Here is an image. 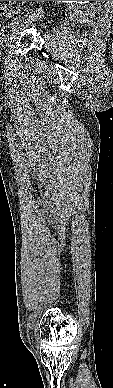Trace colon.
<instances>
[{
    "label": "colon",
    "mask_w": 113,
    "mask_h": 388,
    "mask_svg": "<svg viewBox=\"0 0 113 388\" xmlns=\"http://www.w3.org/2000/svg\"><path fill=\"white\" fill-rule=\"evenodd\" d=\"M14 8L10 5H1L0 6V16L12 17L14 15Z\"/></svg>",
    "instance_id": "1"
}]
</instances>
